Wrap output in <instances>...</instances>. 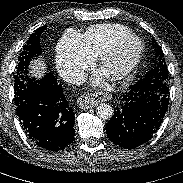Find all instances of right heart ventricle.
<instances>
[{
    "label": "right heart ventricle",
    "instance_id": "right-heart-ventricle-1",
    "mask_svg": "<svg viewBox=\"0 0 183 183\" xmlns=\"http://www.w3.org/2000/svg\"><path fill=\"white\" fill-rule=\"evenodd\" d=\"M134 37L132 31L118 24L92 26L81 37V44L91 57L101 56L122 40Z\"/></svg>",
    "mask_w": 183,
    "mask_h": 183
}]
</instances>
